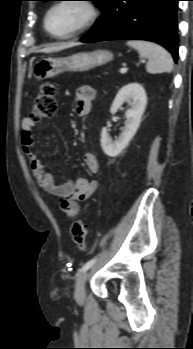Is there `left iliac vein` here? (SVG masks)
Returning a JSON list of instances; mask_svg holds the SVG:
<instances>
[{
	"mask_svg": "<svg viewBox=\"0 0 193 349\" xmlns=\"http://www.w3.org/2000/svg\"><path fill=\"white\" fill-rule=\"evenodd\" d=\"M88 273L86 271H82L75 283V292H74V298L77 303L82 304L85 301V283L87 280Z\"/></svg>",
	"mask_w": 193,
	"mask_h": 349,
	"instance_id": "1",
	"label": "left iliac vein"
}]
</instances>
